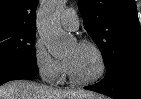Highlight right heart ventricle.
<instances>
[{
	"instance_id": "obj_1",
	"label": "right heart ventricle",
	"mask_w": 141,
	"mask_h": 99,
	"mask_svg": "<svg viewBox=\"0 0 141 99\" xmlns=\"http://www.w3.org/2000/svg\"><path fill=\"white\" fill-rule=\"evenodd\" d=\"M64 65H65V64H64ZM65 72H66V66H65V68H64V72H63V75L65 74ZM63 75H62V76H63Z\"/></svg>"
}]
</instances>
